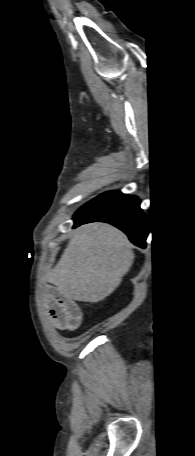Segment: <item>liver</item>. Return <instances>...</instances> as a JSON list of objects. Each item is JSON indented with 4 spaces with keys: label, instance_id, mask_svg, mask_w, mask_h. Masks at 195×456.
Wrapping results in <instances>:
<instances>
[{
    "label": "liver",
    "instance_id": "obj_1",
    "mask_svg": "<svg viewBox=\"0 0 195 456\" xmlns=\"http://www.w3.org/2000/svg\"><path fill=\"white\" fill-rule=\"evenodd\" d=\"M127 236L104 223L79 227L48 281L67 298L96 303L120 285L134 262Z\"/></svg>",
    "mask_w": 195,
    "mask_h": 456
}]
</instances>
